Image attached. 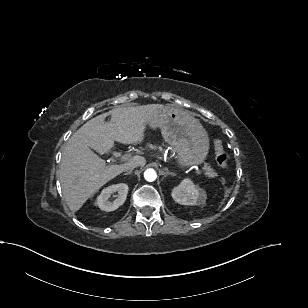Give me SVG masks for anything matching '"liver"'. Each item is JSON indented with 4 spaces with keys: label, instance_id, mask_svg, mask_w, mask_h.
<instances>
[{
    "label": "liver",
    "instance_id": "6515ba94",
    "mask_svg": "<svg viewBox=\"0 0 308 308\" xmlns=\"http://www.w3.org/2000/svg\"><path fill=\"white\" fill-rule=\"evenodd\" d=\"M166 107L169 106L148 104L114 108L87 121L70 137L62 153L59 179L72 212L78 211L103 185L125 171L129 163L145 164V159L137 156L135 161L125 164L106 165L91 149L104 154L114 146V141L141 143L147 120ZM108 115H111L110 122L105 121Z\"/></svg>",
    "mask_w": 308,
    "mask_h": 308
}]
</instances>
